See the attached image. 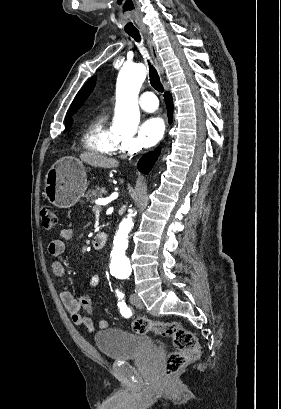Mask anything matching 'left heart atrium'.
<instances>
[{
    "label": "left heart atrium",
    "instance_id": "left-heart-atrium-1",
    "mask_svg": "<svg viewBox=\"0 0 281 409\" xmlns=\"http://www.w3.org/2000/svg\"><path fill=\"white\" fill-rule=\"evenodd\" d=\"M165 130L164 121L161 117L151 115L139 129V142L144 147L156 145L163 137Z\"/></svg>",
    "mask_w": 281,
    "mask_h": 409
}]
</instances>
